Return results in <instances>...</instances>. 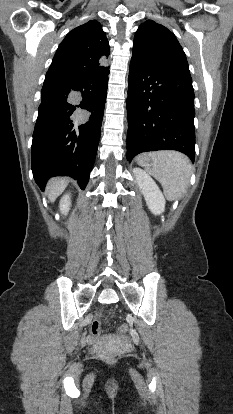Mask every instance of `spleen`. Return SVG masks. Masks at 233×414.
<instances>
[{
  "label": "spleen",
  "mask_w": 233,
  "mask_h": 414,
  "mask_svg": "<svg viewBox=\"0 0 233 414\" xmlns=\"http://www.w3.org/2000/svg\"><path fill=\"white\" fill-rule=\"evenodd\" d=\"M138 163L161 184L170 200L182 197L192 174L189 159L178 151H158L139 157Z\"/></svg>",
  "instance_id": "1"
}]
</instances>
